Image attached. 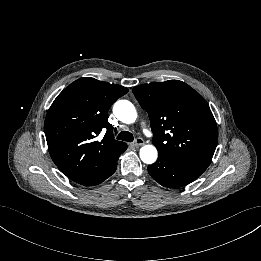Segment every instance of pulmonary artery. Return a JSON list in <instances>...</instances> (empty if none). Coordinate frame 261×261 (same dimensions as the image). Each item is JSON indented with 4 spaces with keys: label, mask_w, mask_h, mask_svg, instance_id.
Returning <instances> with one entry per match:
<instances>
[{
    "label": "pulmonary artery",
    "mask_w": 261,
    "mask_h": 261,
    "mask_svg": "<svg viewBox=\"0 0 261 261\" xmlns=\"http://www.w3.org/2000/svg\"><path fill=\"white\" fill-rule=\"evenodd\" d=\"M143 131H144V133L146 134V131H147V130H146L145 128L143 129Z\"/></svg>",
    "instance_id": "e3ab8cb5"
}]
</instances>
